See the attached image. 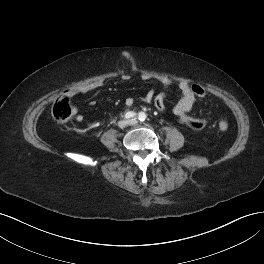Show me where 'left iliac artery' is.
Listing matches in <instances>:
<instances>
[{
	"instance_id": "left-iliac-artery-1",
	"label": "left iliac artery",
	"mask_w": 264,
	"mask_h": 264,
	"mask_svg": "<svg viewBox=\"0 0 264 264\" xmlns=\"http://www.w3.org/2000/svg\"><path fill=\"white\" fill-rule=\"evenodd\" d=\"M147 118L146 114L144 112H140L139 115H138V119L140 121H145Z\"/></svg>"
}]
</instances>
